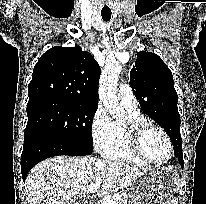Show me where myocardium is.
<instances>
[{
	"label": "myocardium",
	"instance_id": "obj_1",
	"mask_svg": "<svg viewBox=\"0 0 206 204\" xmlns=\"http://www.w3.org/2000/svg\"><path fill=\"white\" fill-rule=\"evenodd\" d=\"M149 129H154L158 131L167 141L168 147H169V156L164 161H154L152 160L144 151L142 140L143 136ZM126 132L128 135L129 143L131 145L132 150L135 152L136 155H138L141 159H143L148 164L152 165H165L167 164L174 156V146L172 143V140L168 133L159 125L147 120H133L128 121L126 123Z\"/></svg>",
	"mask_w": 206,
	"mask_h": 204
}]
</instances>
